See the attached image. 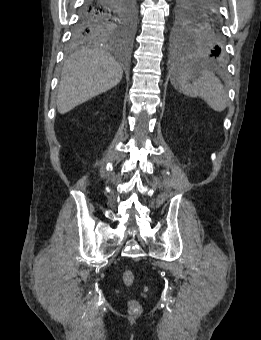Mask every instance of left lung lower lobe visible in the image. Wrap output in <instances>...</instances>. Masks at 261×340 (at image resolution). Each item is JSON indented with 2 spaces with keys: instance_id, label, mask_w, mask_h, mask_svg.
<instances>
[{
  "instance_id": "obj_1",
  "label": "left lung lower lobe",
  "mask_w": 261,
  "mask_h": 340,
  "mask_svg": "<svg viewBox=\"0 0 261 340\" xmlns=\"http://www.w3.org/2000/svg\"><path fill=\"white\" fill-rule=\"evenodd\" d=\"M202 3L207 13L215 11L217 7L219 8V0H203Z\"/></svg>"
}]
</instances>
